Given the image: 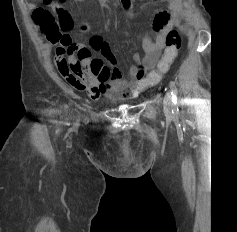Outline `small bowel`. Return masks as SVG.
<instances>
[{
  "label": "small bowel",
  "instance_id": "small-bowel-1",
  "mask_svg": "<svg viewBox=\"0 0 237 232\" xmlns=\"http://www.w3.org/2000/svg\"><path fill=\"white\" fill-rule=\"evenodd\" d=\"M82 2L83 0H73ZM168 3V10L159 12L154 18V29L143 39L145 56L134 55V65L129 77L122 78L108 42L94 36L88 47L77 43L59 46L55 51L54 64L66 81L78 91H86L94 100L106 96L121 100L138 97L147 87L146 74L158 62L165 46L168 33L182 9V0H162ZM92 52H99L108 62L92 58Z\"/></svg>",
  "mask_w": 237,
  "mask_h": 232
}]
</instances>
